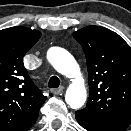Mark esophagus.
I'll return each mask as SVG.
<instances>
[{"mask_svg": "<svg viewBox=\"0 0 131 131\" xmlns=\"http://www.w3.org/2000/svg\"><path fill=\"white\" fill-rule=\"evenodd\" d=\"M63 90H64V87H63V86H60V87H58V88H53V89H51V92H52L53 94H61V93L63 92Z\"/></svg>", "mask_w": 131, "mask_h": 131, "instance_id": "obj_1", "label": "esophagus"}]
</instances>
